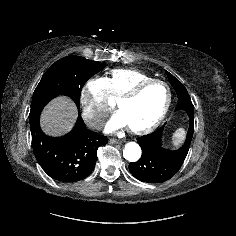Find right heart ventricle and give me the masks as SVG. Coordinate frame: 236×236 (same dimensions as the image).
I'll return each instance as SVG.
<instances>
[{
	"mask_svg": "<svg viewBox=\"0 0 236 236\" xmlns=\"http://www.w3.org/2000/svg\"><path fill=\"white\" fill-rule=\"evenodd\" d=\"M102 79L106 86L107 95L118 99L136 85L153 78L136 69L117 68L111 70Z\"/></svg>",
	"mask_w": 236,
	"mask_h": 236,
	"instance_id": "e07e8e85",
	"label": "right heart ventricle"
}]
</instances>
